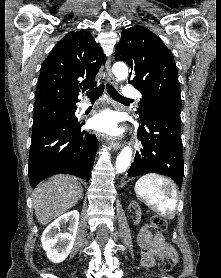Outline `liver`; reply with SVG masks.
I'll return each instance as SVG.
<instances>
[{"mask_svg": "<svg viewBox=\"0 0 221 278\" xmlns=\"http://www.w3.org/2000/svg\"><path fill=\"white\" fill-rule=\"evenodd\" d=\"M82 186L76 178L56 175L41 183L33 192L35 215L41 225L50 223L77 204Z\"/></svg>", "mask_w": 221, "mask_h": 278, "instance_id": "1", "label": "liver"}]
</instances>
